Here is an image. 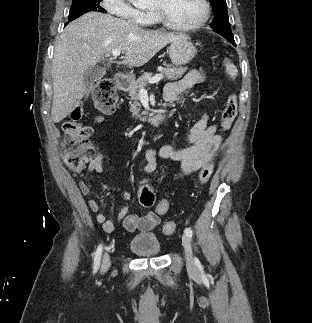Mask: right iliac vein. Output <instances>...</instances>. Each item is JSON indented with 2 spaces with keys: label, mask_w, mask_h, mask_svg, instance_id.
I'll return each mask as SVG.
<instances>
[{
  "label": "right iliac vein",
  "mask_w": 312,
  "mask_h": 323,
  "mask_svg": "<svg viewBox=\"0 0 312 323\" xmlns=\"http://www.w3.org/2000/svg\"><path fill=\"white\" fill-rule=\"evenodd\" d=\"M110 266V258L109 255L106 253L103 258V263H102V272H105Z\"/></svg>",
  "instance_id": "obj_1"
}]
</instances>
